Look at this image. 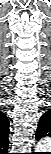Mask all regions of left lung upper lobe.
Wrapping results in <instances>:
<instances>
[{
  "mask_svg": "<svg viewBox=\"0 0 51 154\" xmlns=\"http://www.w3.org/2000/svg\"><path fill=\"white\" fill-rule=\"evenodd\" d=\"M44 121H45L44 118L41 117V119L38 123V129H37V133H36L37 139H40L44 135V132H43Z\"/></svg>",
  "mask_w": 51,
  "mask_h": 154,
  "instance_id": "5c2ea615",
  "label": "left lung upper lobe"
}]
</instances>
